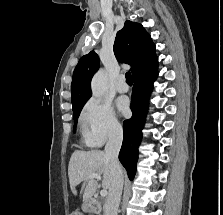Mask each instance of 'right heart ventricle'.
Wrapping results in <instances>:
<instances>
[{
  "label": "right heart ventricle",
  "mask_w": 223,
  "mask_h": 215,
  "mask_svg": "<svg viewBox=\"0 0 223 215\" xmlns=\"http://www.w3.org/2000/svg\"><path fill=\"white\" fill-rule=\"evenodd\" d=\"M82 134H83V137L85 138V140H86V135H85V133H84V131L82 130Z\"/></svg>",
  "instance_id": "e07e8e85"
}]
</instances>
